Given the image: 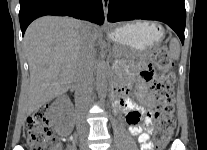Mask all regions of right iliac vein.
<instances>
[{"mask_svg": "<svg viewBox=\"0 0 207 150\" xmlns=\"http://www.w3.org/2000/svg\"><path fill=\"white\" fill-rule=\"evenodd\" d=\"M80 150H87V148H86V146L83 144V145H81Z\"/></svg>", "mask_w": 207, "mask_h": 150, "instance_id": "63e3f726", "label": "right iliac vein"}]
</instances>
